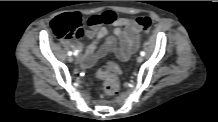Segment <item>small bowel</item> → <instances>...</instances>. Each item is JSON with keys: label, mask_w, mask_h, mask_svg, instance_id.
Here are the masks:
<instances>
[{"label": "small bowel", "mask_w": 218, "mask_h": 122, "mask_svg": "<svg viewBox=\"0 0 218 122\" xmlns=\"http://www.w3.org/2000/svg\"><path fill=\"white\" fill-rule=\"evenodd\" d=\"M110 25L114 27V36L108 37L99 46V41L107 36L106 26ZM89 27L86 36L92 41L88 45L85 46L79 41L70 43L80 62L86 67L92 66L98 58L109 52H113L119 60L125 61L138 49L141 30L134 20L118 18L116 12H105L102 15L91 16Z\"/></svg>", "instance_id": "small-bowel-1"}]
</instances>
